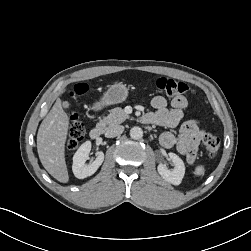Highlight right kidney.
<instances>
[{
  "label": "right kidney",
  "instance_id": "ca27d5eb",
  "mask_svg": "<svg viewBox=\"0 0 251 251\" xmlns=\"http://www.w3.org/2000/svg\"><path fill=\"white\" fill-rule=\"evenodd\" d=\"M91 150V142H84L73 156L72 170L76 178L84 179L93 175L104 161V153L97 152L96 159L86 165L85 162L89 159V152Z\"/></svg>",
  "mask_w": 251,
  "mask_h": 251
}]
</instances>
